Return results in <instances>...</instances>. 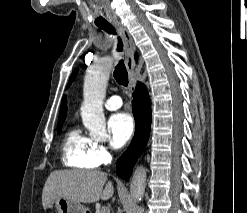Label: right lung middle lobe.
I'll use <instances>...</instances> for the list:
<instances>
[{
    "instance_id": "dd1d6c3e",
    "label": "right lung middle lobe",
    "mask_w": 247,
    "mask_h": 213,
    "mask_svg": "<svg viewBox=\"0 0 247 213\" xmlns=\"http://www.w3.org/2000/svg\"><path fill=\"white\" fill-rule=\"evenodd\" d=\"M62 124H63V123H58V125H57V131H58V132L61 130Z\"/></svg>"
}]
</instances>
